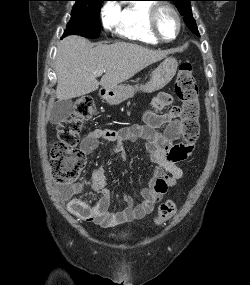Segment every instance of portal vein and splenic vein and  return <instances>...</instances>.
I'll list each match as a JSON object with an SVG mask.
<instances>
[{"mask_svg":"<svg viewBox=\"0 0 250 285\" xmlns=\"http://www.w3.org/2000/svg\"><path fill=\"white\" fill-rule=\"evenodd\" d=\"M103 73H105V70H100V71L97 72V76H100V75H102Z\"/></svg>","mask_w":250,"mask_h":285,"instance_id":"portal-vein-and-splenic-vein-1","label":"portal vein and splenic vein"}]
</instances>
